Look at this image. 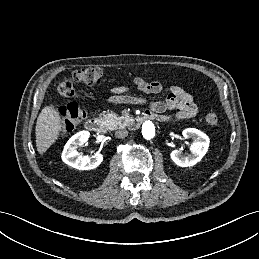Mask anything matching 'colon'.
Here are the masks:
<instances>
[{"instance_id":"colon-1","label":"colon","mask_w":259,"mask_h":259,"mask_svg":"<svg viewBox=\"0 0 259 259\" xmlns=\"http://www.w3.org/2000/svg\"><path fill=\"white\" fill-rule=\"evenodd\" d=\"M103 71L96 67H87L76 70L71 79H63L58 84L57 90L61 96L73 97L76 95L74 83L95 85L100 83ZM61 131L67 133L72 131L86 116L82 107L76 102H71L60 109ZM205 121L210 126H215L219 122V116L215 112H208Z\"/></svg>"}]
</instances>
